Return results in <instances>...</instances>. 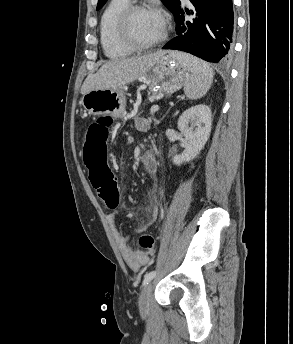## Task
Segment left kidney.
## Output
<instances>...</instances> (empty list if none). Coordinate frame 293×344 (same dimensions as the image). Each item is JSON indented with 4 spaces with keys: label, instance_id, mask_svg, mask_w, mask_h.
<instances>
[{
    "label": "left kidney",
    "instance_id": "1",
    "mask_svg": "<svg viewBox=\"0 0 293 344\" xmlns=\"http://www.w3.org/2000/svg\"><path fill=\"white\" fill-rule=\"evenodd\" d=\"M178 129L187 144L181 154L173 158L176 165L193 160L204 148L211 132V110L207 105H195L185 110L178 120Z\"/></svg>",
    "mask_w": 293,
    "mask_h": 344
}]
</instances>
